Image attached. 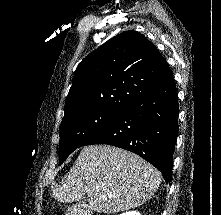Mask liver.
Masks as SVG:
<instances>
[{
	"instance_id": "liver-1",
	"label": "liver",
	"mask_w": 221,
	"mask_h": 215,
	"mask_svg": "<svg viewBox=\"0 0 221 215\" xmlns=\"http://www.w3.org/2000/svg\"><path fill=\"white\" fill-rule=\"evenodd\" d=\"M161 173L138 155L109 145L85 146L60 185L51 186L60 202L79 201L87 194L88 208L118 213L147 202L159 188Z\"/></svg>"
}]
</instances>
